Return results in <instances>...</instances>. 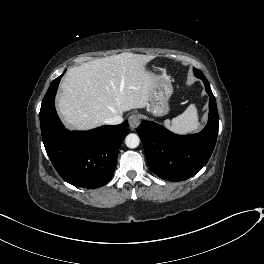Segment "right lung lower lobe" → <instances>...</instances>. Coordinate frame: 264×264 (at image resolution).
<instances>
[{"mask_svg":"<svg viewBox=\"0 0 264 264\" xmlns=\"http://www.w3.org/2000/svg\"><path fill=\"white\" fill-rule=\"evenodd\" d=\"M63 74L52 81L41 104L43 143L62 179L74 186L98 188L113 176L120 144L129 133L128 122L85 132H66L54 105Z\"/></svg>","mask_w":264,"mask_h":264,"instance_id":"1","label":"right lung lower lobe"}]
</instances>
